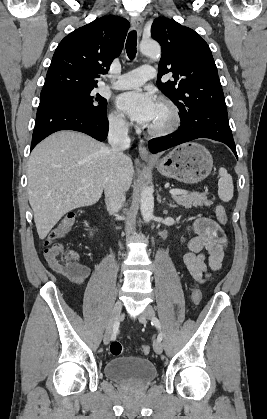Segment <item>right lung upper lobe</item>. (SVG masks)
<instances>
[{"mask_svg": "<svg viewBox=\"0 0 267 419\" xmlns=\"http://www.w3.org/2000/svg\"><path fill=\"white\" fill-rule=\"evenodd\" d=\"M130 23L110 15L74 30L58 45L41 93L65 87L95 88L122 51Z\"/></svg>", "mask_w": 267, "mask_h": 419, "instance_id": "right-lung-upper-lobe-1", "label": "right lung upper lobe"}]
</instances>
